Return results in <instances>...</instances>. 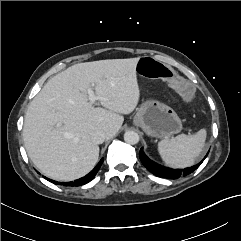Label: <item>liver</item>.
Wrapping results in <instances>:
<instances>
[{
    "label": "liver",
    "mask_w": 241,
    "mask_h": 241,
    "mask_svg": "<svg viewBox=\"0 0 241 241\" xmlns=\"http://www.w3.org/2000/svg\"><path fill=\"white\" fill-rule=\"evenodd\" d=\"M138 60L79 63L48 80L28 106L23 126L27 154L42 174L72 181L94 168L99 146L92 133L101 130L112 138L123 115L133 112L139 102ZM91 86L102 107L89 101Z\"/></svg>",
    "instance_id": "1"
}]
</instances>
